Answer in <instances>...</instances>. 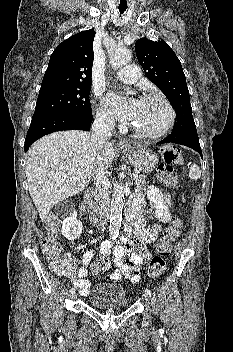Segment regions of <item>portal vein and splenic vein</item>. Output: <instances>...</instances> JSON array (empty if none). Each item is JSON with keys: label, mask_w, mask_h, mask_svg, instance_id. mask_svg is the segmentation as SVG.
Instances as JSON below:
<instances>
[{"label": "portal vein and splenic vein", "mask_w": 233, "mask_h": 352, "mask_svg": "<svg viewBox=\"0 0 233 352\" xmlns=\"http://www.w3.org/2000/svg\"><path fill=\"white\" fill-rule=\"evenodd\" d=\"M133 177H134V178H137V177H138V174H137V173H134V174H133Z\"/></svg>", "instance_id": "18ae733b"}]
</instances>
